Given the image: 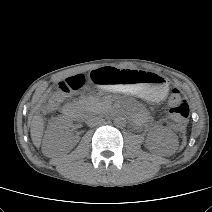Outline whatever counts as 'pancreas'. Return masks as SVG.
<instances>
[{
  "instance_id": "obj_1",
  "label": "pancreas",
  "mask_w": 212,
  "mask_h": 212,
  "mask_svg": "<svg viewBox=\"0 0 212 212\" xmlns=\"http://www.w3.org/2000/svg\"><path fill=\"white\" fill-rule=\"evenodd\" d=\"M78 104L85 112H94L102 107L101 101L93 96L82 97L78 100Z\"/></svg>"
}]
</instances>
